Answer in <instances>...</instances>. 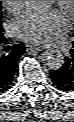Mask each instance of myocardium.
<instances>
[{
  "label": "myocardium",
  "mask_w": 74,
  "mask_h": 122,
  "mask_svg": "<svg viewBox=\"0 0 74 122\" xmlns=\"http://www.w3.org/2000/svg\"><path fill=\"white\" fill-rule=\"evenodd\" d=\"M57 4L65 9H67L72 15L74 11V1H56Z\"/></svg>",
  "instance_id": "f54148a6"
}]
</instances>
